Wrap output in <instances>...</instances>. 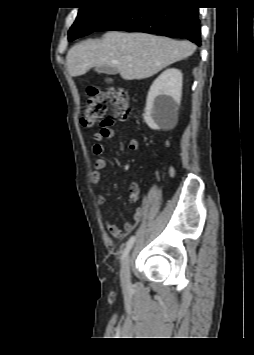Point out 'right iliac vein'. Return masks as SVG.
I'll list each match as a JSON object with an SVG mask.
<instances>
[{
	"label": "right iliac vein",
	"mask_w": 254,
	"mask_h": 355,
	"mask_svg": "<svg viewBox=\"0 0 254 355\" xmlns=\"http://www.w3.org/2000/svg\"><path fill=\"white\" fill-rule=\"evenodd\" d=\"M121 282L124 286L130 285V256H127L121 266Z\"/></svg>",
	"instance_id": "1"
}]
</instances>
